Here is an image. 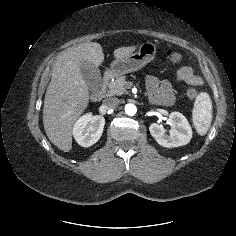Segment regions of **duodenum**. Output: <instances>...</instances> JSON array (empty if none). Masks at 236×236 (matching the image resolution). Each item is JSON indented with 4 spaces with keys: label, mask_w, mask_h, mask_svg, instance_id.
<instances>
[{
    "label": "duodenum",
    "mask_w": 236,
    "mask_h": 236,
    "mask_svg": "<svg viewBox=\"0 0 236 236\" xmlns=\"http://www.w3.org/2000/svg\"><path fill=\"white\" fill-rule=\"evenodd\" d=\"M112 75L113 73L111 71H107L104 74L102 86L98 90H95L94 92H92L91 94L92 101L99 102L104 97L106 93V84L108 83Z\"/></svg>",
    "instance_id": "duodenum-1"
}]
</instances>
